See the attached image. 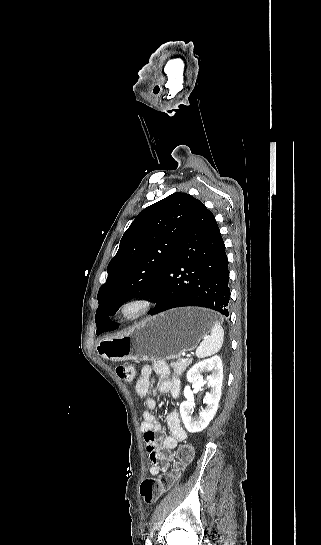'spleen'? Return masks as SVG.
I'll return each instance as SVG.
<instances>
[{"label": "spleen", "instance_id": "1", "mask_svg": "<svg viewBox=\"0 0 321 545\" xmlns=\"http://www.w3.org/2000/svg\"><path fill=\"white\" fill-rule=\"evenodd\" d=\"M224 341V329L220 323H213L211 333L208 339L202 341L199 347L196 349V357L198 359H205V357H211L220 351Z\"/></svg>", "mask_w": 321, "mask_h": 545}]
</instances>
